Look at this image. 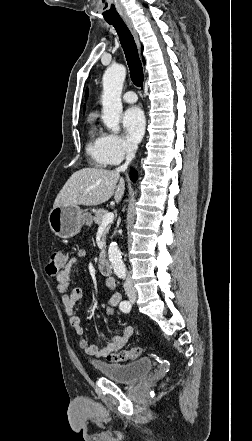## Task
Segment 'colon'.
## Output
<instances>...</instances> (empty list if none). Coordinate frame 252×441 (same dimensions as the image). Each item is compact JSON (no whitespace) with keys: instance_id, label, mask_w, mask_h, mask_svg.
I'll return each mask as SVG.
<instances>
[{"instance_id":"obj_1","label":"colon","mask_w":252,"mask_h":441,"mask_svg":"<svg viewBox=\"0 0 252 441\" xmlns=\"http://www.w3.org/2000/svg\"><path fill=\"white\" fill-rule=\"evenodd\" d=\"M68 264V256L63 250H55L46 266V271L49 275H55L64 270ZM115 307L112 305H105L102 314L106 318L114 316ZM140 355V349L132 347L127 350L116 351L107 356V359L112 362H123L130 359H135Z\"/></svg>"}]
</instances>
